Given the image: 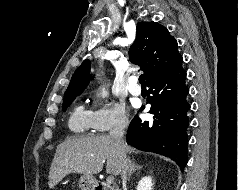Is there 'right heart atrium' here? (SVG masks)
I'll use <instances>...</instances> for the list:
<instances>
[{
    "label": "right heart atrium",
    "mask_w": 238,
    "mask_h": 190,
    "mask_svg": "<svg viewBox=\"0 0 238 190\" xmlns=\"http://www.w3.org/2000/svg\"><path fill=\"white\" fill-rule=\"evenodd\" d=\"M99 102L90 113V124L97 133H106L114 129H123L128 126L129 119L120 105L108 102L105 99L106 94L99 92L97 94Z\"/></svg>",
    "instance_id": "d8ad5b80"
}]
</instances>
